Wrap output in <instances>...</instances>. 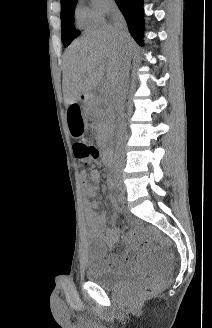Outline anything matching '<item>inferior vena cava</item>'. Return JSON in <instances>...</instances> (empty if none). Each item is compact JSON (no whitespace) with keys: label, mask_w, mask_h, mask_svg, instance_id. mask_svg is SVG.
<instances>
[{"label":"inferior vena cava","mask_w":212,"mask_h":328,"mask_svg":"<svg viewBox=\"0 0 212 328\" xmlns=\"http://www.w3.org/2000/svg\"><path fill=\"white\" fill-rule=\"evenodd\" d=\"M111 19L113 20L114 28L120 37H124L127 32L126 22L119 9L112 5L109 10ZM127 93V76L122 70L118 73L114 83L113 90L110 96V109L115 120L117 130V149H120L125 141L126 123L124 114V102ZM125 164L122 154L117 151V160L114 167V179H121L124 174Z\"/></svg>","instance_id":"1"}]
</instances>
